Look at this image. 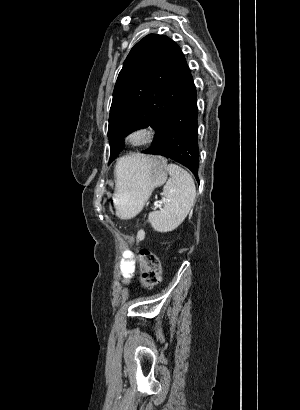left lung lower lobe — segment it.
Returning <instances> with one entry per match:
<instances>
[{
	"label": "left lung lower lobe",
	"mask_w": 300,
	"mask_h": 410,
	"mask_svg": "<svg viewBox=\"0 0 300 410\" xmlns=\"http://www.w3.org/2000/svg\"><path fill=\"white\" fill-rule=\"evenodd\" d=\"M197 115V94L191 76L180 99L161 119L152 146L142 153L161 155L175 160L190 169L197 177L199 167Z\"/></svg>",
	"instance_id": "left-lung-lower-lobe-1"
}]
</instances>
